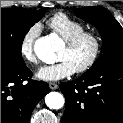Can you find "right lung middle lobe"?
Segmentation results:
<instances>
[{
    "label": "right lung middle lobe",
    "instance_id": "1",
    "mask_svg": "<svg viewBox=\"0 0 123 123\" xmlns=\"http://www.w3.org/2000/svg\"><path fill=\"white\" fill-rule=\"evenodd\" d=\"M46 10L47 8L1 9V63L25 64L21 55L23 39L29 29L43 17Z\"/></svg>",
    "mask_w": 123,
    "mask_h": 123
}]
</instances>
